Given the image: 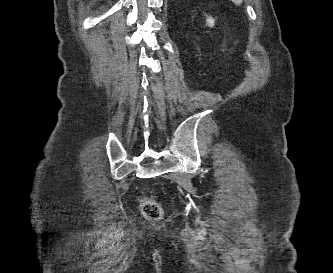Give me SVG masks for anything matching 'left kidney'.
<instances>
[{
    "instance_id": "obj_1",
    "label": "left kidney",
    "mask_w": 333,
    "mask_h": 273,
    "mask_svg": "<svg viewBox=\"0 0 333 273\" xmlns=\"http://www.w3.org/2000/svg\"><path fill=\"white\" fill-rule=\"evenodd\" d=\"M206 23H207V25L209 26V27H214V23H215V21H214V19L213 18H208V19H206Z\"/></svg>"
}]
</instances>
